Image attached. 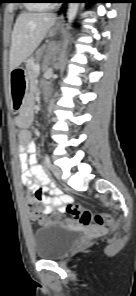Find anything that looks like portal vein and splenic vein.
<instances>
[{
    "label": "portal vein and splenic vein",
    "instance_id": "obj_1",
    "mask_svg": "<svg viewBox=\"0 0 136 296\" xmlns=\"http://www.w3.org/2000/svg\"><path fill=\"white\" fill-rule=\"evenodd\" d=\"M34 70H35L36 72H39V70H40L39 65H36L35 68H34Z\"/></svg>",
    "mask_w": 136,
    "mask_h": 296
}]
</instances>
